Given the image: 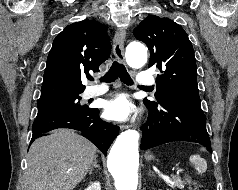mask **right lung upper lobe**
Here are the masks:
<instances>
[{
    "label": "right lung upper lobe",
    "instance_id": "1",
    "mask_svg": "<svg viewBox=\"0 0 238 190\" xmlns=\"http://www.w3.org/2000/svg\"><path fill=\"white\" fill-rule=\"evenodd\" d=\"M107 26L83 20L65 27L53 41L47 57L39 100L80 94L85 86L81 74L98 67L109 58L111 44Z\"/></svg>",
    "mask_w": 238,
    "mask_h": 190
}]
</instances>
